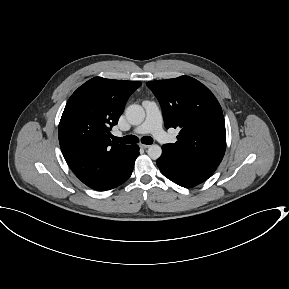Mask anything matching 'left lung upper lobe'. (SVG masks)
I'll return each mask as SVG.
<instances>
[{
  "label": "left lung upper lobe",
  "mask_w": 289,
  "mask_h": 289,
  "mask_svg": "<svg viewBox=\"0 0 289 289\" xmlns=\"http://www.w3.org/2000/svg\"><path fill=\"white\" fill-rule=\"evenodd\" d=\"M146 84L161 104L166 128H180L178 141L162 148L174 156L218 166L226 149V130L212 92L188 76Z\"/></svg>",
  "instance_id": "left-lung-upper-lobe-1"
}]
</instances>
